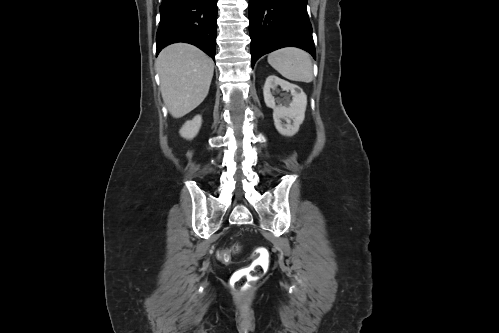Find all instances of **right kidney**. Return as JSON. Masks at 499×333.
Segmentation results:
<instances>
[{"label": "right kidney", "mask_w": 499, "mask_h": 333, "mask_svg": "<svg viewBox=\"0 0 499 333\" xmlns=\"http://www.w3.org/2000/svg\"><path fill=\"white\" fill-rule=\"evenodd\" d=\"M202 118L200 115L195 116L192 120L187 121L180 130V135L186 139H193L201 127Z\"/></svg>", "instance_id": "1"}]
</instances>
